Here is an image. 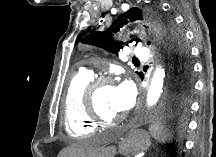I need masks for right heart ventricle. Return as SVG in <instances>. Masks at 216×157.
I'll list each match as a JSON object with an SVG mask.
<instances>
[{
	"mask_svg": "<svg viewBox=\"0 0 216 157\" xmlns=\"http://www.w3.org/2000/svg\"><path fill=\"white\" fill-rule=\"evenodd\" d=\"M91 81L89 75L72 73L62 98L63 127L67 135L83 137L92 134L96 124L87 116L84 103V90Z\"/></svg>",
	"mask_w": 216,
	"mask_h": 157,
	"instance_id": "e07e8e85",
	"label": "right heart ventricle"
}]
</instances>
